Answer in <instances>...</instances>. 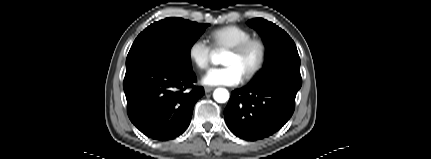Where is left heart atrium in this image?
Returning <instances> with one entry per match:
<instances>
[{
	"mask_svg": "<svg viewBox=\"0 0 431 159\" xmlns=\"http://www.w3.org/2000/svg\"><path fill=\"white\" fill-rule=\"evenodd\" d=\"M243 75L237 67L227 65L225 67L212 68L202 78L206 85L217 86H235L242 81Z\"/></svg>",
	"mask_w": 431,
	"mask_h": 159,
	"instance_id": "left-heart-atrium-1",
	"label": "left heart atrium"
}]
</instances>
